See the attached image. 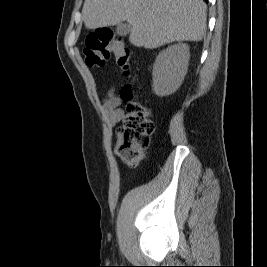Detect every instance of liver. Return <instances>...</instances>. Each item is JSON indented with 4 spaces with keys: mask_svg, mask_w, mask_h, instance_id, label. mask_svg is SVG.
Segmentation results:
<instances>
[{
    "mask_svg": "<svg viewBox=\"0 0 267 267\" xmlns=\"http://www.w3.org/2000/svg\"><path fill=\"white\" fill-rule=\"evenodd\" d=\"M206 9L203 0H85L82 16L87 29L127 21L130 43L155 49L174 41H201Z\"/></svg>",
    "mask_w": 267,
    "mask_h": 267,
    "instance_id": "1",
    "label": "liver"
}]
</instances>
